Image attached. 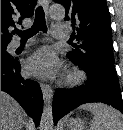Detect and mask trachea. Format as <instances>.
<instances>
[{
  "label": "trachea",
  "instance_id": "trachea-1",
  "mask_svg": "<svg viewBox=\"0 0 123 130\" xmlns=\"http://www.w3.org/2000/svg\"><path fill=\"white\" fill-rule=\"evenodd\" d=\"M39 31H43L44 33L47 32L45 14L42 6H39L36 9L35 20L32 27L25 31H16V33L21 37L22 41H26L36 35Z\"/></svg>",
  "mask_w": 123,
  "mask_h": 130
}]
</instances>
